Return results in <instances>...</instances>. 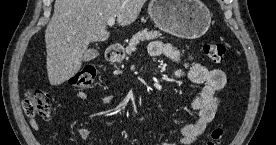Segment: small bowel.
<instances>
[{"instance_id":"1","label":"small bowel","mask_w":276,"mask_h":145,"mask_svg":"<svg viewBox=\"0 0 276 145\" xmlns=\"http://www.w3.org/2000/svg\"><path fill=\"white\" fill-rule=\"evenodd\" d=\"M149 54L153 57L165 55L176 63L183 60L182 53L172 47L170 44L153 41L149 45ZM176 77L187 79L194 84H203L201 92L190 101V108L197 114L194 122L185 125L181 131L177 142L172 145H191L205 131L207 125L214 119L217 108L218 98L216 93L220 91L225 83L226 76L220 69H210L197 61H190L188 69L176 70ZM77 98L81 101H87L88 96L85 92H78ZM115 101L113 95L107 94L101 97V104H111ZM30 126L34 131L39 129V123L36 120L30 121ZM78 137L89 139L91 131L88 128H79L76 130Z\"/></svg>"}]
</instances>
